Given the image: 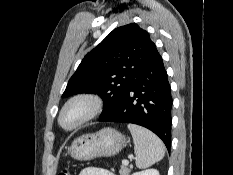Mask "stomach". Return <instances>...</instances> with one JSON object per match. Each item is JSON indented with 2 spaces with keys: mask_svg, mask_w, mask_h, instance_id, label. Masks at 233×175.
Wrapping results in <instances>:
<instances>
[{
  "mask_svg": "<svg viewBox=\"0 0 233 175\" xmlns=\"http://www.w3.org/2000/svg\"><path fill=\"white\" fill-rule=\"evenodd\" d=\"M126 146V138L113 128H103L93 134L76 138L68 153L76 160L87 161L97 157H111Z\"/></svg>",
  "mask_w": 233,
  "mask_h": 175,
  "instance_id": "1",
  "label": "stomach"
}]
</instances>
